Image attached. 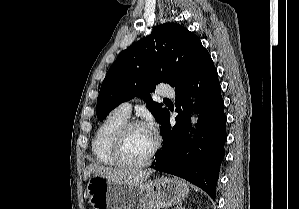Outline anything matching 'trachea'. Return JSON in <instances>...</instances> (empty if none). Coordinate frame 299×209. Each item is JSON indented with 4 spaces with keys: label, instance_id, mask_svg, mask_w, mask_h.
I'll use <instances>...</instances> for the list:
<instances>
[{
    "label": "trachea",
    "instance_id": "obj_1",
    "mask_svg": "<svg viewBox=\"0 0 299 209\" xmlns=\"http://www.w3.org/2000/svg\"><path fill=\"white\" fill-rule=\"evenodd\" d=\"M164 101H170L169 99H164Z\"/></svg>",
    "mask_w": 299,
    "mask_h": 209
}]
</instances>
